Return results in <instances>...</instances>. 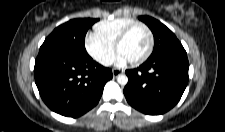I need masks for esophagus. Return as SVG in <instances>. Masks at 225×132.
Listing matches in <instances>:
<instances>
[{
	"instance_id": "34e87169",
	"label": "esophagus",
	"mask_w": 225,
	"mask_h": 132,
	"mask_svg": "<svg viewBox=\"0 0 225 132\" xmlns=\"http://www.w3.org/2000/svg\"><path fill=\"white\" fill-rule=\"evenodd\" d=\"M123 71L119 70V69H113L112 70V74L114 77H117L119 74H121Z\"/></svg>"
}]
</instances>
